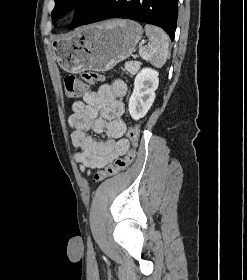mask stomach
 I'll list each match as a JSON object with an SVG mask.
<instances>
[{
    "mask_svg": "<svg viewBox=\"0 0 247 280\" xmlns=\"http://www.w3.org/2000/svg\"><path fill=\"white\" fill-rule=\"evenodd\" d=\"M142 33V27L136 21L109 20L82 27L67 38L57 39L54 48L60 66L67 72H103L127 59Z\"/></svg>",
    "mask_w": 247,
    "mask_h": 280,
    "instance_id": "0dacf381",
    "label": "stomach"
}]
</instances>
